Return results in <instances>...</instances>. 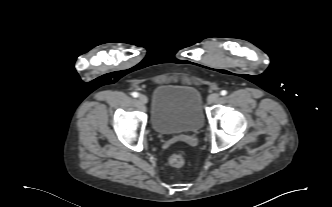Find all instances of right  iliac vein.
Masks as SVG:
<instances>
[{"label": "right iliac vein", "mask_w": 332, "mask_h": 207, "mask_svg": "<svg viewBox=\"0 0 332 207\" xmlns=\"http://www.w3.org/2000/svg\"><path fill=\"white\" fill-rule=\"evenodd\" d=\"M138 99H139V102L142 104H146L148 102V98L143 94H141Z\"/></svg>", "instance_id": "63e3f726"}]
</instances>
